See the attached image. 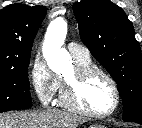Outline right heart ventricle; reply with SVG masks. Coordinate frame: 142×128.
<instances>
[{"mask_svg": "<svg viewBox=\"0 0 142 128\" xmlns=\"http://www.w3.org/2000/svg\"><path fill=\"white\" fill-rule=\"evenodd\" d=\"M77 64L80 65V66H90L91 65V60H76ZM60 103L63 105V87L61 85V88H60Z\"/></svg>", "mask_w": 142, "mask_h": 128, "instance_id": "right-heart-ventricle-1", "label": "right heart ventricle"}]
</instances>
